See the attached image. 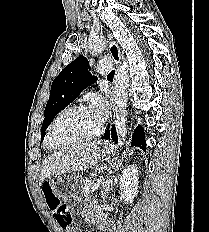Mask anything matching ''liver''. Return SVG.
Segmentation results:
<instances>
[{"instance_id":"obj_1","label":"liver","mask_w":209,"mask_h":232,"mask_svg":"<svg viewBox=\"0 0 209 232\" xmlns=\"http://www.w3.org/2000/svg\"><path fill=\"white\" fill-rule=\"evenodd\" d=\"M100 142L80 143L49 156L41 169L39 183L55 173L78 172L95 165L99 158Z\"/></svg>"}]
</instances>
